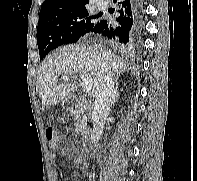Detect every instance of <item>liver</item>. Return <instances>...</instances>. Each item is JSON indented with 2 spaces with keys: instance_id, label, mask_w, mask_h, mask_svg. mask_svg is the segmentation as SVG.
<instances>
[{
  "instance_id": "liver-1",
  "label": "liver",
  "mask_w": 197,
  "mask_h": 181,
  "mask_svg": "<svg viewBox=\"0 0 197 181\" xmlns=\"http://www.w3.org/2000/svg\"><path fill=\"white\" fill-rule=\"evenodd\" d=\"M128 66L101 44L68 45L45 59L39 68L37 91L44 106L56 105L77 89L75 81L57 84L60 75L86 74L93 79L92 95L96 96L104 75L115 78Z\"/></svg>"
}]
</instances>
